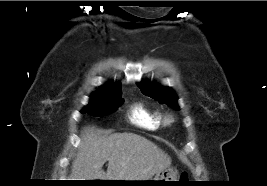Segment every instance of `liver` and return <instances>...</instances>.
I'll use <instances>...</instances> for the list:
<instances>
[{"instance_id":"obj_1","label":"liver","mask_w":267,"mask_h":186,"mask_svg":"<svg viewBox=\"0 0 267 186\" xmlns=\"http://www.w3.org/2000/svg\"><path fill=\"white\" fill-rule=\"evenodd\" d=\"M106 161L107 172L102 169ZM170 165L171 158L145 137L134 133L102 136L94 128L86 127L70 178L145 181Z\"/></svg>"}]
</instances>
